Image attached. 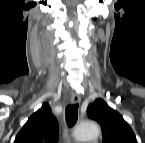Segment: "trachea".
<instances>
[{"instance_id":"obj_1","label":"trachea","mask_w":145,"mask_h":143,"mask_svg":"<svg viewBox=\"0 0 145 143\" xmlns=\"http://www.w3.org/2000/svg\"><path fill=\"white\" fill-rule=\"evenodd\" d=\"M65 117L69 127L75 125L78 119V104L68 105L65 110Z\"/></svg>"}]
</instances>
